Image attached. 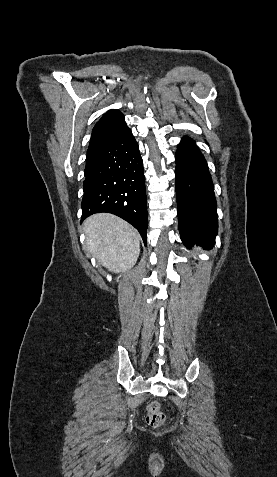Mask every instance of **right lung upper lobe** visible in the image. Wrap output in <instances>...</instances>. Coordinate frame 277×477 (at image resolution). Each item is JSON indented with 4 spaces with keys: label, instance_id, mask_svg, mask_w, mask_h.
Instances as JSON below:
<instances>
[{
    "label": "right lung upper lobe",
    "instance_id": "1",
    "mask_svg": "<svg viewBox=\"0 0 277 477\" xmlns=\"http://www.w3.org/2000/svg\"><path fill=\"white\" fill-rule=\"evenodd\" d=\"M127 128L124 115L118 110H109L94 126L87 152L110 143Z\"/></svg>",
    "mask_w": 277,
    "mask_h": 477
}]
</instances>
